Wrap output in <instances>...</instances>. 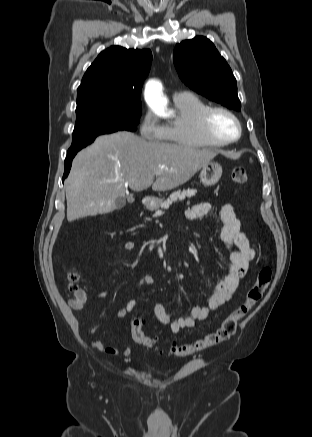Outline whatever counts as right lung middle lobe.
I'll return each instance as SVG.
<instances>
[{"instance_id":"1","label":"right lung middle lobe","mask_w":312,"mask_h":437,"mask_svg":"<svg viewBox=\"0 0 312 437\" xmlns=\"http://www.w3.org/2000/svg\"><path fill=\"white\" fill-rule=\"evenodd\" d=\"M141 116V104L117 106L93 104L76 108V125L67 154L76 153L102 134L135 131Z\"/></svg>"}]
</instances>
